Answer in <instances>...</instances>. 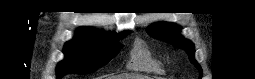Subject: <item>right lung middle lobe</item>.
<instances>
[{"mask_svg":"<svg viewBox=\"0 0 255 79\" xmlns=\"http://www.w3.org/2000/svg\"><path fill=\"white\" fill-rule=\"evenodd\" d=\"M130 34H119L118 39L76 36L64 47L65 59L57 67L58 79L69 73H89L107 64L122 48L118 41Z\"/></svg>","mask_w":255,"mask_h":79,"instance_id":"obj_1","label":"right lung middle lobe"}]
</instances>
